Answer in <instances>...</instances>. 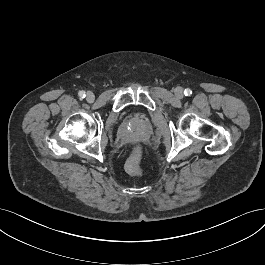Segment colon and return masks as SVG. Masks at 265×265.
I'll list each match as a JSON object with an SVG mask.
<instances>
[{"label":"colon","mask_w":265,"mask_h":265,"mask_svg":"<svg viewBox=\"0 0 265 265\" xmlns=\"http://www.w3.org/2000/svg\"><path fill=\"white\" fill-rule=\"evenodd\" d=\"M125 170L132 176H141L143 174L142 150L136 146L125 163Z\"/></svg>","instance_id":"1"}]
</instances>
